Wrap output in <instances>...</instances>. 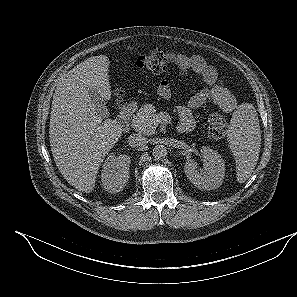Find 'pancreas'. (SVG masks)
Masks as SVG:
<instances>
[{"label": "pancreas", "mask_w": 297, "mask_h": 297, "mask_svg": "<svg viewBox=\"0 0 297 297\" xmlns=\"http://www.w3.org/2000/svg\"><path fill=\"white\" fill-rule=\"evenodd\" d=\"M157 119H159V114L156 113L155 107L151 104H145L133 117L132 127L140 133L152 135L158 126Z\"/></svg>", "instance_id": "1"}]
</instances>
